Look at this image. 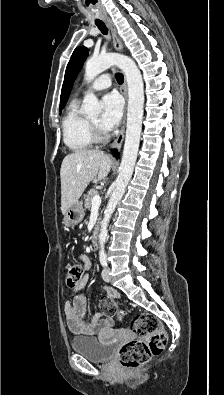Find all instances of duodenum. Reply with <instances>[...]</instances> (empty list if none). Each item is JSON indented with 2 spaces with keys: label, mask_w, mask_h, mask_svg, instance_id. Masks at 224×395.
I'll list each match as a JSON object with an SVG mask.
<instances>
[{
  "label": "duodenum",
  "mask_w": 224,
  "mask_h": 395,
  "mask_svg": "<svg viewBox=\"0 0 224 395\" xmlns=\"http://www.w3.org/2000/svg\"><path fill=\"white\" fill-rule=\"evenodd\" d=\"M98 234H99V224L96 223L90 236V244L92 247L98 246Z\"/></svg>",
  "instance_id": "410a0bca"
}]
</instances>
